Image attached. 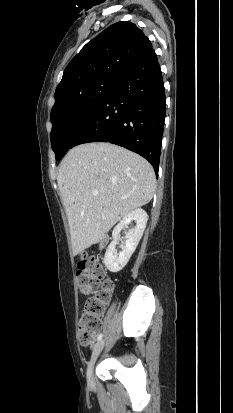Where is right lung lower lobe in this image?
Listing matches in <instances>:
<instances>
[{
    "instance_id": "right-lung-lower-lobe-1",
    "label": "right lung lower lobe",
    "mask_w": 233,
    "mask_h": 413,
    "mask_svg": "<svg viewBox=\"0 0 233 413\" xmlns=\"http://www.w3.org/2000/svg\"><path fill=\"white\" fill-rule=\"evenodd\" d=\"M166 97L156 53L150 49L123 70L71 147L110 142L147 159L158 174Z\"/></svg>"
}]
</instances>
